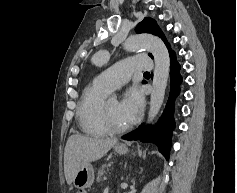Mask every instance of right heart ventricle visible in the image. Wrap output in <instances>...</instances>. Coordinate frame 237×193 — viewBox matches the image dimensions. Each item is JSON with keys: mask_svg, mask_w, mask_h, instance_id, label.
Instances as JSON below:
<instances>
[{"mask_svg": "<svg viewBox=\"0 0 237 193\" xmlns=\"http://www.w3.org/2000/svg\"><path fill=\"white\" fill-rule=\"evenodd\" d=\"M109 93L110 90L96 80L83 90L77 107V119L84 133L92 136L108 134L100 122V106Z\"/></svg>", "mask_w": 237, "mask_h": 193, "instance_id": "1", "label": "right heart ventricle"}]
</instances>
